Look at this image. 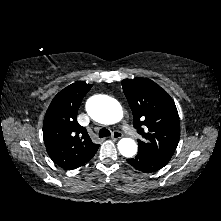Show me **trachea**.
I'll return each instance as SVG.
<instances>
[{"label":"trachea","instance_id":"obj_1","mask_svg":"<svg viewBox=\"0 0 221 221\" xmlns=\"http://www.w3.org/2000/svg\"><path fill=\"white\" fill-rule=\"evenodd\" d=\"M111 135V132L108 129L102 128L99 131V137L103 138V137H108Z\"/></svg>","mask_w":221,"mask_h":221}]
</instances>
